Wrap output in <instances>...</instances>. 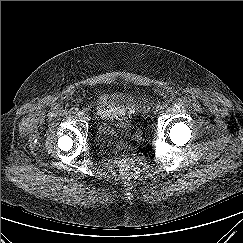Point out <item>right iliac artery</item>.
Returning <instances> with one entry per match:
<instances>
[{"instance_id":"1","label":"right iliac artery","mask_w":243,"mask_h":243,"mask_svg":"<svg viewBox=\"0 0 243 243\" xmlns=\"http://www.w3.org/2000/svg\"><path fill=\"white\" fill-rule=\"evenodd\" d=\"M73 113L76 114V115H79L80 110L78 108H75L74 111H73Z\"/></svg>"}]
</instances>
